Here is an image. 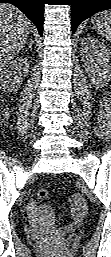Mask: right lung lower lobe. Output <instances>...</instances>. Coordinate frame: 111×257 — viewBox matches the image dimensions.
Returning <instances> with one entry per match:
<instances>
[{
	"mask_svg": "<svg viewBox=\"0 0 111 257\" xmlns=\"http://www.w3.org/2000/svg\"><path fill=\"white\" fill-rule=\"evenodd\" d=\"M0 3H10L19 8L36 25L42 36L45 0H0Z\"/></svg>",
	"mask_w": 111,
	"mask_h": 257,
	"instance_id": "1",
	"label": "right lung lower lobe"
}]
</instances>
